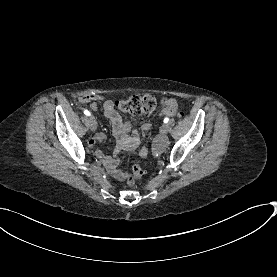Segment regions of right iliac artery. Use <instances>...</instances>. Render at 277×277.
Instances as JSON below:
<instances>
[{
  "label": "right iliac artery",
  "mask_w": 277,
  "mask_h": 277,
  "mask_svg": "<svg viewBox=\"0 0 277 277\" xmlns=\"http://www.w3.org/2000/svg\"><path fill=\"white\" fill-rule=\"evenodd\" d=\"M84 114H85L86 116H90V115H91V113H90L88 110H85V111H84Z\"/></svg>",
  "instance_id": "82829eb1"
}]
</instances>
